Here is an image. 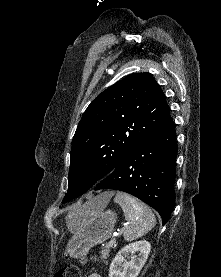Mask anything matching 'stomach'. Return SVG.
Instances as JSON below:
<instances>
[{"label": "stomach", "mask_w": 221, "mask_h": 277, "mask_svg": "<svg viewBox=\"0 0 221 277\" xmlns=\"http://www.w3.org/2000/svg\"><path fill=\"white\" fill-rule=\"evenodd\" d=\"M117 214L106 209V205L97 203L94 198L74 211L67 224L72 237L66 252L70 257L81 258L89 250L106 241L114 230Z\"/></svg>", "instance_id": "stomach-1"}]
</instances>
